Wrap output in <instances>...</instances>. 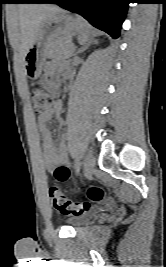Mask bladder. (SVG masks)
<instances>
[{
  "label": "bladder",
  "instance_id": "1",
  "mask_svg": "<svg viewBox=\"0 0 166 267\" xmlns=\"http://www.w3.org/2000/svg\"><path fill=\"white\" fill-rule=\"evenodd\" d=\"M95 217L94 213H84L82 215L74 216L67 220V223L73 227H79L87 224Z\"/></svg>",
  "mask_w": 166,
  "mask_h": 267
}]
</instances>
